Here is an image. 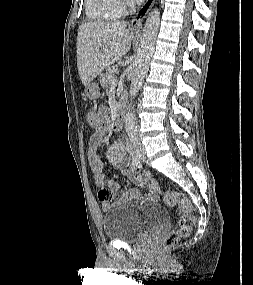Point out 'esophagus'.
Here are the masks:
<instances>
[{"instance_id": "esophagus-1", "label": "esophagus", "mask_w": 253, "mask_h": 285, "mask_svg": "<svg viewBox=\"0 0 253 285\" xmlns=\"http://www.w3.org/2000/svg\"><path fill=\"white\" fill-rule=\"evenodd\" d=\"M154 3V0H146L142 7L138 10L134 18L130 22V27L132 30L139 31L142 26V22L144 18L146 17L147 13L151 9L152 5Z\"/></svg>"}]
</instances>
